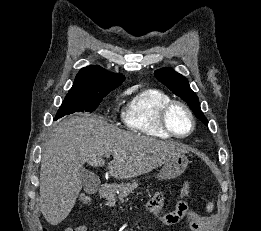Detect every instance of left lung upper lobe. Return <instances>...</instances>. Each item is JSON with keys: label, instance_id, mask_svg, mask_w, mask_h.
I'll list each match as a JSON object with an SVG mask.
<instances>
[{"label": "left lung upper lobe", "instance_id": "1", "mask_svg": "<svg viewBox=\"0 0 261 231\" xmlns=\"http://www.w3.org/2000/svg\"><path fill=\"white\" fill-rule=\"evenodd\" d=\"M155 76L174 94L187 102L195 116L199 118L205 125H208L207 118L203 115L200 109L199 99L197 95L191 90L186 78L175 72L172 68H162L156 70Z\"/></svg>", "mask_w": 261, "mask_h": 231}]
</instances>
